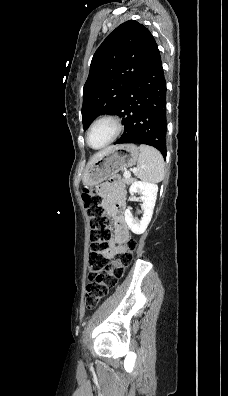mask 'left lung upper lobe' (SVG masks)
<instances>
[{"label": "left lung upper lobe", "instance_id": "1", "mask_svg": "<svg viewBox=\"0 0 228 396\" xmlns=\"http://www.w3.org/2000/svg\"><path fill=\"white\" fill-rule=\"evenodd\" d=\"M156 42L135 20L119 25L95 52L83 89V128L101 114H116Z\"/></svg>", "mask_w": 228, "mask_h": 396}]
</instances>
